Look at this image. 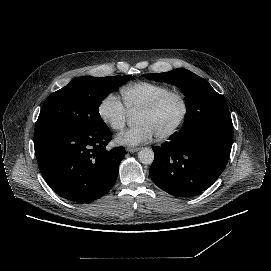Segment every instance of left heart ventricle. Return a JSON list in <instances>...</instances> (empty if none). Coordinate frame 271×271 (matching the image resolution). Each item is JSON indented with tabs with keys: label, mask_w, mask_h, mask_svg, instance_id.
Wrapping results in <instances>:
<instances>
[{
	"label": "left heart ventricle",
	"mask_w": 271,
	"mask_h": 271,
	"mask_svg": "<svg viewBox=\"0 0 271 271\" xmlns=\"http://www.w3.org/2000/svg\"><path fill=\"white\" fill-rule=\"evenodd\" d=\"M182 113V105L178 97L169 98L157 111L150 114H137L136 124H147L155 136L162 135L172 129Z\"/></svg>",
	"instance_id": "left-heart-ventricle-1"
}]
</instances>
